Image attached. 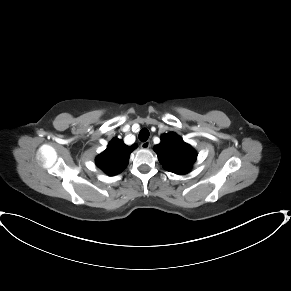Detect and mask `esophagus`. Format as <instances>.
Wrapping results in <instances>:
<instances>
[{"label": "esophagus", "instance_id": "1", "mask_svg": "<svg viewBox=\"0 0 291 291\" xmlns=\"http://www.w3.org/2000/svg\"><path fill=\"white\" fill-rule=\"evenodd\" d=\"M140 146L142 149H149L151 145L149 141H145V142H142Z\"/></svg>", "mask_w": 291, "mask_h": 291}]
</instances>
